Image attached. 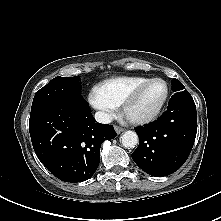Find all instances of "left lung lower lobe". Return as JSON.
<instances>
[{
    "label": "left lung lower lobe",
    "mask_w": 221,
    "mask_h": 221,
    "mask_svg": "<svg viewBox=\"0 0 221 221\" xmlns=\"http://www.w3.org/2000/svg\"><path fill=\"white\" fill-rule=\"evenodd\" d=\"M135 131L139 145L132 159L142 170L156 177L177 171L188 158L197 133L192 96L170 99L167 110L158 120Z\"/></svg>",
    "instance_id": "obj_1"
}]
</instances>
